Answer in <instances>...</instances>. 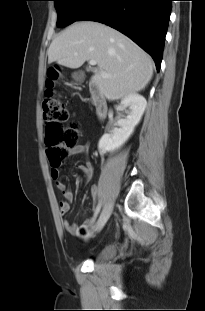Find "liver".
I'll list each match as a JSON object with an SVG mask.
<instances>
[{"instance_id":"liver-1","label":"liver","mask_w":205,"mask_h":311,"mask_svg":"<svg viewBox=\"0 0 205 311\" xmlns=\"http://www.w3.org/2000/svg\"><path fill=\"white\" fill-rule=\"evenodd\" d=\"M95 60L93 83L108 100L143 90L153 76V60L119 31L94 21L76 22L62 31L48 49V63L77 69ZM109 77H103L101 72Z\"/></svg>"}]
</instances>
